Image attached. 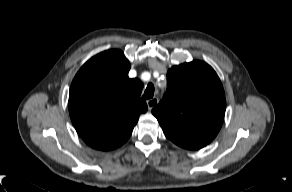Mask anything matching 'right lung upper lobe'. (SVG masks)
Listing matches in <instances>:
<instances>
[{"instance_id":"right-lung-upper-lobe-1","label":"right lung upper lobe","mask_w":292,"mask_h":192,"mask_svg":"<svg viewBox=\"0 0 292 192\" xmlns=\"http://www.w3.org/2000/svg\"><path fill=\"white\" fill-rule=\"evenodd\" d=\"M130 63L120 50L104 51L78 71L69 91L71 121L92 148L108 151L130 137L139 115L147 111L140 98L143 84L130 79Z\"/></svg>"}]
</instances>
